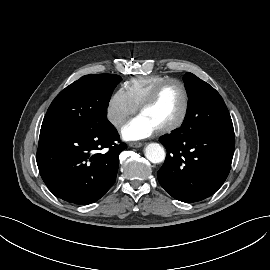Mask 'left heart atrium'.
Segmentation results:
<instances>
[{
  "label": "left heart atrium",
  "mask_w": 270,
  "mask_h": 270,
  "mask_svg": "<svg viewBox=\"0 0 270 270\" xmlns=\"http://www.w3.org/2000/svg\"><path fill=\"white\" fill-rule=\"evenodd\" d=\"M157 130L154 124L140 114L123 126L121 135L126 141H138L150 137Z\"/></svg>",
  "instance_id": "39dd6f15"
}]
</instances>
